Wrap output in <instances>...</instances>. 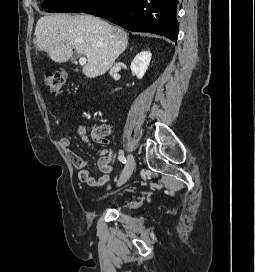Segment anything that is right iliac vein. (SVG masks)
<instances>
[{
	"label": "right iliac vein",
	"instance_id": "1",
	"mask_svg": "<svg viewBox=\"0 0 255 272\" xmlns=\"http://www.w3.org/2000/svg\"><path fill=\"white\" fill-rule=\"evenodd\" d=\"M134 166H135V160L133 155H129L128 156V160H127V164L117 182L118 186L123 185L132 175V172L134 170Z\"/></svg>",
	"mask_w": 255,
	"mask_h": 272
}]
</instances>
